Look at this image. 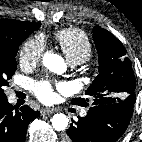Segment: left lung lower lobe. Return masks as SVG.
<instances>
[{"mask_svg": "<svg viewBox=\"0 0 142 142\" xmlns=\"http://www.w3.org/2000/svg\"><path fill=\"white\" fill-rule=\"evenodd\" d=\"M134 103L94 105L86 117L72 120L64 142H116L127 129Z\"/></svg>", "mask_w": 142, "mask_h": 142, "instance_id": "left-lung-lower-lobe-1", "label": "left lung lower lobe"}]
</instances>
